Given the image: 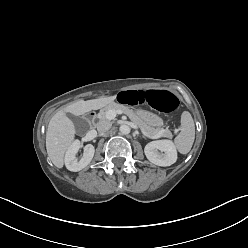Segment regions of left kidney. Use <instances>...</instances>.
Instances as JSON below:
<instances>
[{
	"mask_svg": "<svg viewBox=\"0 0 248 248\" xmlns=\"http://www.w3.org/2000/svg\"><path fill=\"white\" fill-rule=\"evenodd\" d=\"M147 159L158 166H170L177 160L176 147L170 140H156L144 148Z\"/></svg>",
	"mask_w": 248,
	"mask_h": 248,
	"instance_id": "1",
	"label": "left kidney"
}]
</instances>
